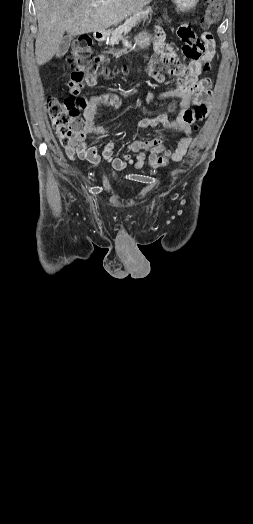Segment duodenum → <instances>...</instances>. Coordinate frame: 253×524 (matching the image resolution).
I'll return each instance as SVG.
<instances>
[{"instance_id":"obj_1","label":"duodenum","mask_w":253,"mask_h":524,"mask_svg":"<svg viewBox=\"0 0 253 524\" xmlns=\"http://www.w3.org/2000/svg\"><path fill=\"white\" fill-rule=\"evenodd\" d=\"M104 35H105V33L102 32V31H96V32L94 33V36H95V38H96L97 40H101V39L104 37Z\"/></svg>"}]
</instances>
